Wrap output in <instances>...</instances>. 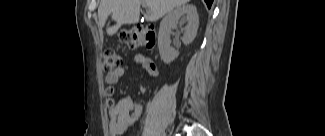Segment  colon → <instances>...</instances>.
Returning a JSON list of instances; mask_svg holds the SVG:
<instances>
[{"label":"colon","mask_w":325,"mask_h":136,"mask_svg":"<svg viewBox=\"0 0 325 136\" xmlns=\"http://www.w3.org/2000/svg\"><path fill=\"white\" fill-rule=\"evenodd\" d=\"M156 34L153 26L137 25L122 30L118 35V41L129 49L145 47L151 49L155 45ZM118 54L108 49L103 55V70L111 72L121 65Z\"/></svg>","instance_id":"5ec220e1"}]
</instances>
